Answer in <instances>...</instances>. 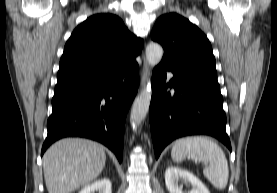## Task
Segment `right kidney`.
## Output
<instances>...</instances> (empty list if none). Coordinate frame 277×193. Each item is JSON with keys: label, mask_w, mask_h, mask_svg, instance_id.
Listing matches in <instances>:
<instances>
[{"label": "right kidney", "mask_w": 277, "mask_h": 193, "mask_svg": "<svg viewBox=\"0 0 277 193\" xmlns=\"http://www.w3.org/2000/svg\"><path fill=\"white\" fill-rule=\"evenodd\" d=\"M112 193L111 182L109 179L104 178L98 180L85 188H83L79 193Z\"/></svg>", "instance_id": "1"}]
</instances>
